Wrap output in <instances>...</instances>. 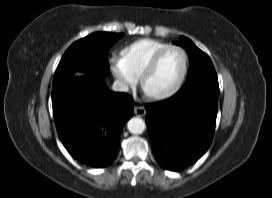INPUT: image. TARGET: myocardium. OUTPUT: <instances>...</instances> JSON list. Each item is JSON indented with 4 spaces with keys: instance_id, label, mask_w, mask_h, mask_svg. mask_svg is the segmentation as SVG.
I'll use <instances>...</instances> for the list:
<instances>
[{
    "instance_id": "f54148a6",
    "label": "myocardium",
    "mask_w": 272,
    "mask_h": 198,
    "mask_svg": "<svg viewBox=\"0 0 272 198\" xmlns=\"http://www.w3.org/2000/svg\"><path fill=\"white\" fill-rule=\"evenodd\" d=\"M172 49L179 50L183 55V60H184L183 71L181 73V76H180L179 80L177 81V83L170 90H168V91H166L164 93L146 94L144 92V90H143L145 80L156 69V67L159 64V62H160L161 58L163 57V55L167 51L172 50ZM188 70H189V57H188V54L185 51V49L182 48L181 46H178V45H168V46L163 47L160 50H158L153 55V57L150 59L148 64L145 66V68L143 69L142 73L139 76L140 87H141L142 91L145 93L146 97L151 99V100L159 101V100L168 99V98L174 96L176 93H178L180 91V89L182 88V86L184 85V82L186 80Z\"/></svg>"
}]
</instances>
